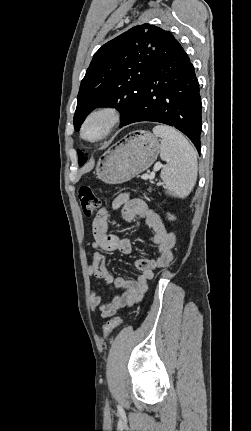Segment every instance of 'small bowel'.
I'll return each mask as SVG.
<instances>
[{
	"instance_id": "obj_1",
	"label": "small bowel",
	"mask_w": 251,
	"mask_h": 431,
	"mask_svg": "<svg viewBox=\"0 0 251 431\" xmlns=\"http://www.w3.org/2000/svg\"><path fill=\"white\" fill-rule=\"evenodd\" d=\"M112 208L121 209L122 218L132 221L136 218L143 219L146 225L152 229V242L157 248L155 259H142L135 263L139 271L136 279L128 280L124 277H114L106 268L104 251H119L130 254L131 242L128 238L108 232V210L101 208L92 222V259L88 267L90 277L95 280L112 284L121 289L111 301L104 302L96 291L91 294V308L99 311L102 318L114 315L122 308L132 307L147 290L148 282L154 277L157 270L170 264L173 259L175 246V234L169 229L162 215L150 208L142 199L130 198L127 194H120L115 198Z\"/></svg>"
}]
</instances>
